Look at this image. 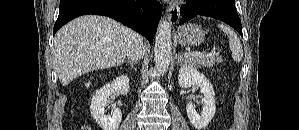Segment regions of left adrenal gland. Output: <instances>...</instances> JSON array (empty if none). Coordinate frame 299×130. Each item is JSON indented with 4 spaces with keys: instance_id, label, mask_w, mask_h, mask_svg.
Wrapping results in <instances>:
<instances>
[{
    "instance_id": "obj_1",
    "label": "left adrenal gland",
    "mask_w": 299,
    "mask_h": 130,
    "mask_svg": "<svg viewBox=\"0 0 299 130\" xmlns=\"http://www.w3.org/2000/svg\"><path fill=\"white\" fill-rule=\"evenodd\" d=\"M178 64L179 65L183 64V55L181 54L178 55Z\"/></svg>"
}]
</instances>
